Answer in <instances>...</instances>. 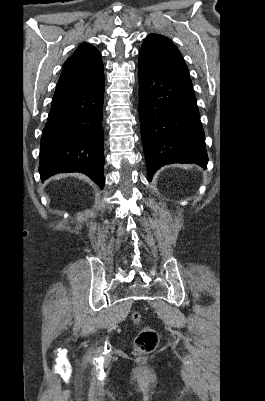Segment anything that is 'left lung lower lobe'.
I'll use <instances>...</instances> for the list:
<instances>
[{"mask_svg":"<svg viewBox=\"0 0 265 401\" xmlns=\"http://www.w3.org/2000/svg\"><path fill=\"white\" fill-rule=\"evenodd\" d=\"M139 115L149 180L162 166L206 168L205 135L190 76L138 62Z\"/></svg>","mask_w":265,"mask_h":401,"instance_id":"1","label":"left lung lower lobe"}]
</instances>
